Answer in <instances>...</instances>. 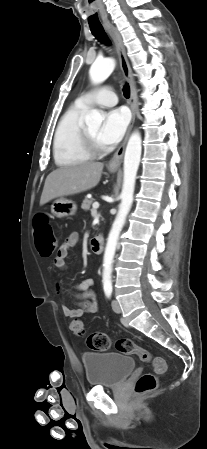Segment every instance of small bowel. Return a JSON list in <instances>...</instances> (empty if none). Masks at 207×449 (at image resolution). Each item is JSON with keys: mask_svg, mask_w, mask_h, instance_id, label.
I'll return each instance as SVG.
<instances>
[{"mask_svg": "<svg viewBox=\"0 0 207 449\" xmlns=\"http://www.w3.org/2000/svg\"><path fill=\"white\" fill-rule=\"evenodd\" d=\"M79 240L77 233H71L61 243L54 263L59 269H65L67 267V257L70 251L77 245ZM94 281L91 278L84 279L80 283L74 285L77 292H70L77 300L80 301V307L71 308L68 305L62 306L64 315L69 317H79L83 314H95L98 311V300L95 292L92 290ZM56 289L58 291L64 290L63 285L60 282L56 283Z\"/></svg>", "mask_w": 207, "mask_h": 449, "instance_id": "small-bowel-1", "label": "small bowel"}]
</instances>
